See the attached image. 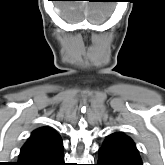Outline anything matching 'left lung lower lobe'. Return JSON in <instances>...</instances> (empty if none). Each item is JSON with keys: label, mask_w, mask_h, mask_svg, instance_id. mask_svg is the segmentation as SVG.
Masks as SVG:
<instances>
[{"label": "left lung lower lobe", "mask_w": 165, "mask_h": 165, "mask_svg": "<svg viewBox=\"0 0 165 165\" xmlns=\"http://www.w3.org/2000/svg\"><path fill=\"white\" fill-rule=\"evenodd\" d=\"M96 165H122L117 163L108 154H106L102 149H99V158Z\"/></svg>", "instance_id": "left-lung-lower-lobe-1"}]
</instances>
